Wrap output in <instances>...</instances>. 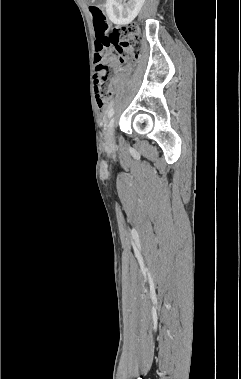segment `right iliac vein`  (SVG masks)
<instances>
[{
    "label": "right iliac vein",
    "mask_w": 241,
    "mask_h": 379,
    "mask_svg": "<svg viewBox=\"0 0 241 379\" xmlns=\"http://www.w3.org/2000/svg\"><path fill=\"white\" fill-rule=\"evenodd\" d=\"M114 118H112L107 126L106 132H105V139L107 144L111 145L114 142Z\"/></svg>",
    "instance_id": "right-iliac-vein-1"
}]
</instances>
